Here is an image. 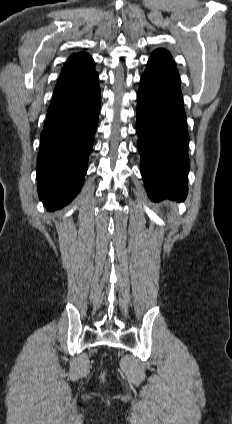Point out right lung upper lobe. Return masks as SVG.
Listing matches in <instances>:
<instances>
[{
	"label": "right lung upper lobe",
	"mask_w": 232,
	"mask_h": 424,
	"mask_svg": "<svg viewBox=\"0 0 232 424\" xmlns=\"http://www.w3.org/2000/svg\"><path fill=\"white\" fill-rule=\"evenodd\" d=\"M94 73H96L94 69V61L88 54L85 52L73 54L67 60L57 86L73 78Z\"/></svg>",
	"instance_id": "cb5924a9"
}]
</instances>
